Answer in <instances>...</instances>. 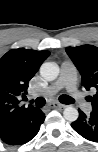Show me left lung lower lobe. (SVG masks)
Wrapping results in <instances>:
<instances>
[{"mask_svg": "<svg viewBox=\"0 0 98 152\" xmlns=\"http://www.w3.org/2000/svg\"><path fill=\"white\" fill-rule=\"evenodd\" d=\"M71 127L85 139L98 141V113L92 111L87 115L79 110V117Z\"/></svg>", "mask_w": 98, "mask_h": 152, "instance_id": "0a47b994", "label": "left lung lower lobe"}]
</instances>
